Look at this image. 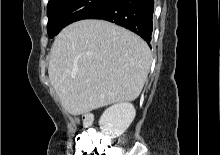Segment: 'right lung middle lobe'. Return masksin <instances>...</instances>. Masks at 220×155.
Masks as SVG:
<instances>
[{
    "mask_svg": "<svg viewBox=\"0 0 220 155\" xmlns=\"http://www.w3.org/2000/svg\"><path fill=\"white\" fill-rule=\"evenodd\" d=\"M115 0H52L47 5L49 38L57 35L65 26L85 19Z\"/></svg>",
    "mask_w": 220,
    "mask_h": 155,
    "instance_id": "right-lung-middle-lobe-1",
    "label": "right lung middle lobe"
}]
</instances>
